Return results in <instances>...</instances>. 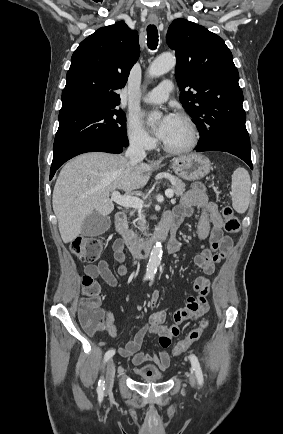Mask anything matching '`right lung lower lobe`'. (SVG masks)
<instances>
[{
  "mask_svg": "<svg viewBox=\"0 0 283 434\" xmlns=\"http://www.w3.org/2000/svg\"><path fill=\"white\" fill-rule=\"evenodd\" d=\"M124 146L107 139H93L78 142L53 156L50 169V179L53 178L56 170L67 160L86 152H108L121 153Z\"/></svg>",
  "mask_w": 283,
  "mask_h": 434,
  "instance_id": "98d812e1",
  "label": "right lung lower lobe"
}]
</instances>
